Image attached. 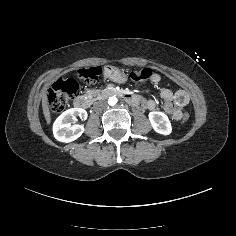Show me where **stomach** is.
<instances>
[{
	"label": "stomach",
	"mask_w": 236,
	"mask_h": 236,
	"mask_svg": "<svg viewBox=\"0 0 236 236\" xmlns=\"http://www.w3.org/2000/svg\"><path fill=\"white\" fill-rule=\"evenodd\" d=\"M104 77L109 78L111 81L118 84H124L128 82V74L122 71L120 68L111 65L104 66Z\"/></svg>",
	"instance_id": "1"
}]
</instances>
